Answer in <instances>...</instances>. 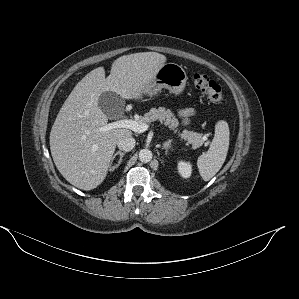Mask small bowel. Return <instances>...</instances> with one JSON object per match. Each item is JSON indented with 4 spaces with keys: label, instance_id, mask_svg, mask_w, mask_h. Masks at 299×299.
<instances>
[{
    "label": "small bowel",
    "instance_id": "small-bowel-1",
    "mask_svg": "<svg viewBox=\"0 0 299 299\" xmlns=\"http://www.w3.org/2000/svg\"><path fill=\"white\" fill-rule=\"evenodd\" d=\"M195 115V110L193 108H184L179 112V117L182 119L183 123H188L190 118Z\"/></svg>",
    "mask_w": 299,
    "mask_h": 299
}]
</instances>
